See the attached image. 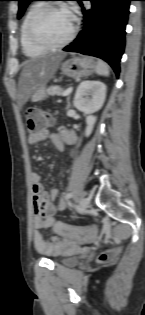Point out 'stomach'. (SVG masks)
I'll return each mask as SVG.
<instances>
[{
    "label": "stomach",
    "instance_id": "1",
    "mask_svg": "<svg viewBox=\"0 0 145 315\" xmlns=\"http://www.w3.org/2000/svg\"><path fill=\"white\" fill-rule=\"evenodd\" d=\"M62 73L67 77L77 78L90 75L96 70L97 63L91 57H73L63 64Z\"/></svg>",
    "mask_w": 145,
    "mask_h": 315
}]
</instances>
